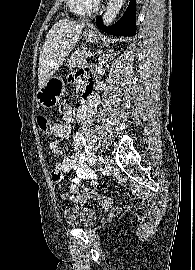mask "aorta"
Listing matches in <instances>:
<instances>
[{"label":"aorta","mask_w":195,"mask_h":270,"mask_svg":"<svg viewBox=\"0 0 195 270\" xmlns=\"http://www.w3.org/2000/svg\"><path fill=\"white\" fill-rule=\"evenodd\" d=\"M124 0H109L106 10L103 15V23L105 26L111 25L120 9L122 8Z\"/></svg>","instance_id":"aorta-1"}]
</instances>
